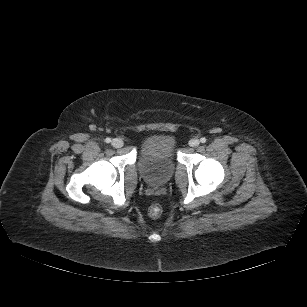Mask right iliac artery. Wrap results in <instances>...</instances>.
<instances>
[{"mask_svg": "<svg viewBox=\"0 0 307 307\" xmlns=\"http://www.w3.org/2000/svg\"><path fill=\"white\" fill-rule=\"evenodd\" d=\"M105 142H106V143H110V142H111V139H110V138H106V139H105Z\"/></svg>", "mask_w": 307, "mask_h": 307, "instance_id": "1", "label": "right iliac artery"}]
</instances>
